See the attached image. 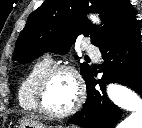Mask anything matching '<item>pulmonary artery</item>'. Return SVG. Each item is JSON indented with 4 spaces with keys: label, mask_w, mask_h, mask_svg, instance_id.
Listing matches in <instances>:
<instances>
[{
    "label": "pulmonary artery",
    "mask_w": 142,
    "mask_h": 128,
    "mask_svg": "<svg viewBox=\"0 0 142 128\" xmlns=\"http://www.w3.org/2000/svg\"><path fill=\"white\" fill-rule=\"evenodd\" d=\"M86 52L95 59H98L100 57V51L98 50V48L91 44H88L86 46Z\"/></svg>",
    "instance_id": "obj_1"
}]
</instances>
